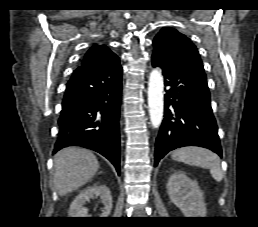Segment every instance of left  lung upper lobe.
Masks as SVG:
<instances>
[{
    "label": "left lung upper lobe",
    "mask_w": 258,
    "mask_h": 227,
    "mask_svg": "<svg viewBox=\"0 0 258 227\" xmlns=\"http://www.w3.org/2000/svg\"><path fill=\"white\" fill-rule=\"evenodd\" d=\"M154 50H160L192 69L205 74L195 45L185 35L173 28H162L153 41Z\"/></svg>",
    "instance_id": "obj_1"
}]
</instances>
